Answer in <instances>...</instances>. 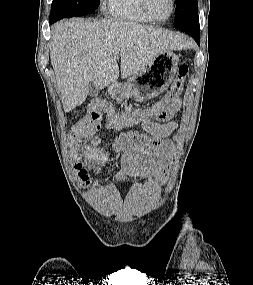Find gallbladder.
I'll list each match as a JSON object with an SVG mask.
<instances>
[{
    "mask_svg": "<svg viewBox=\"0 0 253 285\" xmlns=\"http://www.w3.org/2000/svg\"><path fill=\"white\" fill-rule=\"evenodd\" d=\"M99 93V90L98 88L94 85V83L91 81L88 85V94L91 96V97H95L97 96Z\"/></svg>",
    "mask_w": 253,
    "mask_h": 285,
    "instance_id": "bac80fb5",
    "label": "gallbladder"
}]
</instances>
